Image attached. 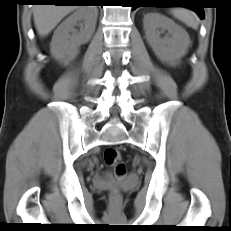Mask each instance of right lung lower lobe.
I'll use <instances>...</instances> for the list:
<instances>
[{
	"label": "right lung lower lobe",
	"mask_w": 231,
	"mask_h": 231,
	"mask_svg": "<svg viewBox=\"0 0 231 231\" xmlns=\"http://www.w3.org/2000/svg\"><path fill=\"white\" fill-rule=\"evenodd\" d=\"M77 1L80 0H34V2H38V3H52L55 5H66V4L75 5Z\"/></svg>",
	"instance_id": "1"
}]
</instances>
